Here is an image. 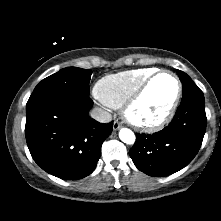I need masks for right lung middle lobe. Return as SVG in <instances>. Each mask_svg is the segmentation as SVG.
Masks as SVG:
<instances>
[{
	"label": "right lung middle lobe",
	"mask_w": 221,
	"mask_h": 221,
	"mask_svg": "<svg viewBox=\"0 0 221 221\" xmlns=\"http://www.w3.org/2000/svg\"><path fill=\"white\" fill-rule=\"evenodd\" d=\"M92 71L77 67H68L43 79L34 89L27 104L56 94H89V82Z\"/></svg>",
	"instance_id": "1"
}]
</instances>
